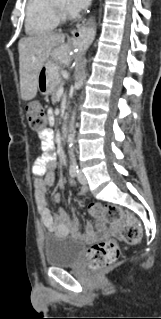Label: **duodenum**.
I'll return each instance as SVG.
<instances>
[{
  "label": "duodenum",
  "mask_w": 161,
  "mask_h": 319,
  "mask_svg": "<svg viewBox=\"0 0 161 319\" xmlns=\"http://www.w3.org/2000/svg\"><path fill=\"white\" fill-rule=\"evenodd\" d=\"M67 135V126L66 125H62L61 129H60V136L62 138H65Z\"/></svg>",
  "instance_id": "410a0bca"
}]
</instances>
